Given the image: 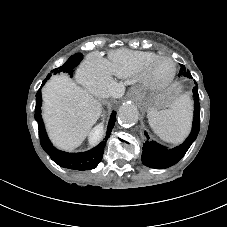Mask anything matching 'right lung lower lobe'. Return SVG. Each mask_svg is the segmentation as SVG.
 I'll return each mask as SVG.
<instances>
[{"label":"right lung lower lobe","mask_w":227,"mask_h":227,"mask_svg":"<svg viewBox=\"0 0 227 227\" xmlns=\"http://www.w3.org/2000/svg\"><path fill=\"white\" fill-rule=\"evenodd\" d=\"M41 106L42 98L41 91L39 90L36 94L35 120L38 123L41 146L44 149V151L51 157V159L61 167L78 171L91 170L97 167L98 163L102 159L105 143L109 138L111 130L116 121V112H113L111 114L106 136L99 145L86 152L66 153L56 149L50 142L42 120Z\"/></svg>","instance_id":"98d812e1"}]
</instances>
